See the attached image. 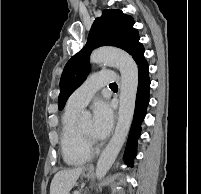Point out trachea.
I'll return each mask as SVG.
<instances>
[{"mask_svg":"<svg viewBox=\"0 0 201 194\" xmlns=\"http://www.w3.org/2000/svg\"><path fill=\"white\" fill-rule=\"evenodd\" d=\"M109 86L110 87H117V84L116 83H111Z\"/></svg>","mask_w":201,"mask_h":194,"instance_id":"trachea-1","label":"trachea"}]
</instances>
